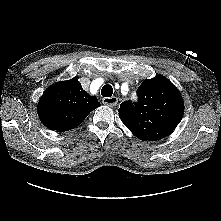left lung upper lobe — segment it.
<instances>
[{"instance_id": "obj_1", "label": "left lung upper lobe", "mask_w": 221, "mask_h": 221, "mask_svg": "<svg viewBox=\"0 0 221 221\" xmlns=\"http://www.w3.org/2000/svg\"><path fill=\"white\" fill-rule=\"evenodd\" d=\"M137 92L138 102L121 103L118 109L121 121L143 141H156L169 135L184 113L180 92L161 75L145 80Z\"/></svg>"}]
</instances>
